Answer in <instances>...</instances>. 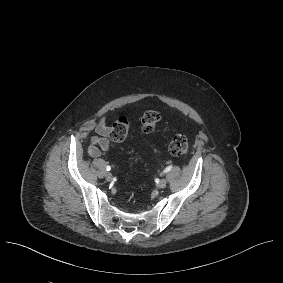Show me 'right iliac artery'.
<instances>
[{"label": "right iliac artery", "mask_w": 283, "mask_h": 283, "mask_svg": "<svg viewBox=\"0 0 283 283\" xmlns=\"http://www.w3.org/2000/svg\"><path fill=\"white\" fill-rule=\"evenodd\" d=\"M106 170H107V171H110V170H111V167H110V166H106Z\"/></svg>", "instance_id": "right-iliac-artery-1"}]
</instances>
